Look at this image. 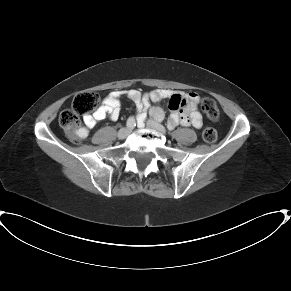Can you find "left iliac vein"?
Here are the masks:
<instances>
[{
    "label": "left iliac vein",
    "instance_id": "1",
    "mask_svg": "<svg viewBox=\"0 0 291 291\" xmlns=\"http://www.w3.org/2000/svg\"><path fill=\"white\" fill-rule=\"evenodd\" d=\"M146 125L148 128L154 129L160 133H165V128L160 123L153 119L147 120Z\"/></svg>",
    "mask_w": 291,
    "mask_h": 291
}]
</instances>
